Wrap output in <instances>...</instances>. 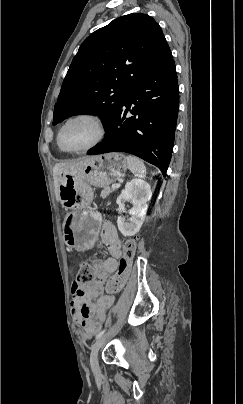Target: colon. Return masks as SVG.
Segmentation results:
<instances>
[{"label":"colon","mask_w":243,"mask_h":404,"mask_svg":"<svg viewBox=\"0 0 243 404\" xmlns=\"http://www.w3.org/2000/svg\"><path fill=\"white\" fill-rule=\"evenodd\" d=\"M136 241L128 240L123 246V253L118 262L116 273L109 279L107 283V291L114 293L121 290L126 284L132 261L136 252ZM97 277V271L89 263H83L77 275V282L80 284H88L93 282Z\"/></svg>","instance_id":"5ec220e1"}]
</instances>
